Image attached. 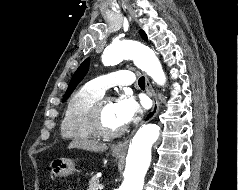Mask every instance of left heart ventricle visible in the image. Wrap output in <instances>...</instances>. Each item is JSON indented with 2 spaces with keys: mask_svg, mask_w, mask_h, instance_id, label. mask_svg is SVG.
Instances as JSON below:
<instances>
[{
  "mask_svg": "<svg viewBox=\"0 0 238 190\" xmlns=\"http://www.w3.org/2000/svg\"><path fill=\"white\" fill-rule=\"evenodd\" d=\"M104 121L108 128L117 129L125 125L120 118L117 101L111 100L106 103L104 108Z\"/></svg>",
  "mask_w": 238,
  "mask_h": 190,
  "instance_id": "b2bd125f",
  "label": "left heart ventricle"
}]
</instances>
